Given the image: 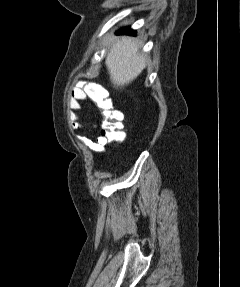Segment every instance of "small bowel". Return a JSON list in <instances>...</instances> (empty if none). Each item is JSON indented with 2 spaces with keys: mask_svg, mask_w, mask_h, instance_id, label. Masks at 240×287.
Here are the masks:
<instances>
[{
  "mask_svg": "<svg viewBox=\"0 0 240 287\" xmlns=\"http://www.w3.org/2000/svg\"><path fill=\"white\" fill-rule=\"evenodd\" d=\"M88 96L86 92L80 87H74L71 91L70 98L68 100V106L74 111H80L82 109L81 102L86 101ZM91 130L97 132L98 126L92 125ZM82 141L95 153L101 154L104 151V146L107 141L101 136L98 135L95 140H91L87 137H83Z\"/></svg>",
  "mask_w": 240,
  "mask_h": 287,
  "instance_id": "c3829d8e",
  "label": "small bowel"
}]
</instances>
